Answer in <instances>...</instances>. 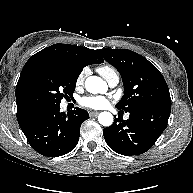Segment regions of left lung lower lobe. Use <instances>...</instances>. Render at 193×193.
<instances>
[{
    "mask_svg": "<svg viewBox=\"0 0 193 193\" xmlns=\"http://www.w3.org/2000/svg\"><path fill=\"white\" fill-rule=\"evenodd\" d=\"M171 103L130 112L128 120L115 118V122L103 129L108 146L115 152L131 156L146 152L167 127Z\"/></svg>",
    "mask_w": 193,
    "mask_h": 193,
    "instance_id": "0a47b994",
    "label": "left lung lower lobe"
}]
</instances>
